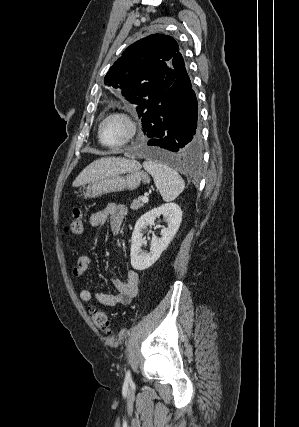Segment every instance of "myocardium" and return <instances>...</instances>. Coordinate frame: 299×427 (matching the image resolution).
Returning <instances> with one entry per match:
<instances>
[{"mask_svg": "<svg viewBox=\"0 0 299 427\" xmlns=\"http://www.w3.org/2000/svg\"><path fill=\"white\" fill-rule=\"evenodd\" d=\"M113 117H119V118L123 119L128 126V132H127L126 137L122 141H120L119 143L107 144L101 138V129H102L103 124L108 119L113 118ZM137 131H138V125H137L135 118L130 113H128L126 111L117 110V111H112V112L108 113L99 122L98 128H97V137H98V140H99L101 145H103L107 148H119V147H122V146L128 144L129 142H131L134 139V137L136 136Z\"/></svg>", "mask_w": 299, "mask_h": 427, "instance_id": "1", "label": "myocardium"}]
</instances>
